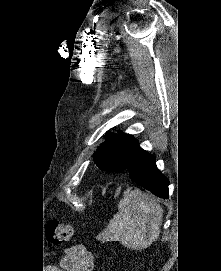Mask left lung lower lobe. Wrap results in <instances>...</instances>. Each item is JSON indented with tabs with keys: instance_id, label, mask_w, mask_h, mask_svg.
I'll use <instances>...</instances> for the list:
<instances>
[{
	"instance_id": "0a47b994",
	"label": "left lung lower lobe",
	"mask_w": 221,
	"mask_h": 271,
	"mask_svg": "<svg viewBox=\"0 0 221 271\" xmlns=\"http://www.w3.org/2000/svg\"><path fill=\"white\" fill-rule=\"evenodd\" d=\"M126 170L132 181L158 197L168 198V180L157 169L153 155L139 147Z\"/></svg>"
}]
</instances>
